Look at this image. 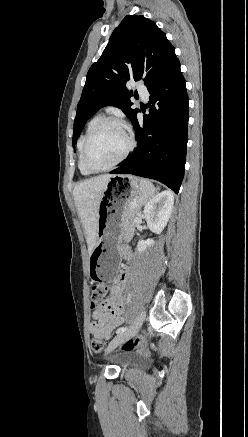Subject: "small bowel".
I'll return each instance as SVG.
<instances>
[{"label": "small bowel", "mask_w": 248, "mask_h": 437, "mask_svg": "<svg viewBox=\"0 0 248 437\" xmlns=\"http://www.w3.org/2000/svg\"><path fill=\"white\" fill-rule=\"evenodd\" d=\"M128 250V249H127ZM124 258H130V251L127 254L122 252ZM129 270L123 268L118 281L111 287L109 296L100 304L94 306L90 324V333L100 339H108L113 329L122 324L124 320V298L123 293L128 280Z\"/></svg>", "instance_id": "small-bowel-1"}]
</instances>
